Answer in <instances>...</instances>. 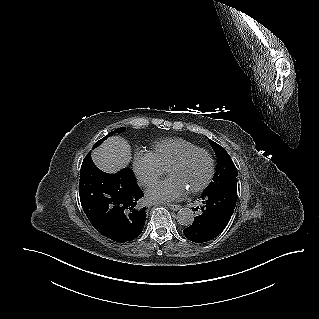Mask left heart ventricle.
I'll use <instances>...</instances> for the list:
<instances>
[{
  "instance_id": "1",
  "label": "left heart ventricle",
  "mask_w": 319,
  "mask_h": 319,
  "mask_svg": "<svg viewBox=\"0 0 319 319\" xmlns=\"http://www.w3.org/2000/svg\"><path fill=\"white\" fill-rule=\"evenodd\" d=\"M208 171L209 161L207 157L204 154H196L181 166L171 169L168 175L181 181L187 190H190L205 180Z\"/></svg>"
}]
</instances>
